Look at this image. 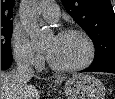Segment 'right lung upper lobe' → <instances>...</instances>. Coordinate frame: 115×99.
Listing matches in <instances>:
<instances>
[{
  "label": "right lung upper lobe",
  "mask_w": 115,
  "mask_h": 99,
  "mask_svg": "<svg viewBox=\"0 0 115 99\" xmlns=\"http://www.w3.org/2000/svg\"><path fill=\"white\" fill-rule=\"evenodd\" d=\"M14 0H1V25L12 24Z\"/></svg>",
  "instance_id": "cb5924a9"
}]
</instances>
